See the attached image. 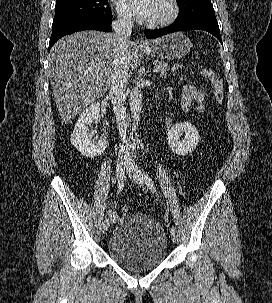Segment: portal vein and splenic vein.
Wrapping results in <instances>:
<instances>
[{
  "label": "portal vein and splenic vein",
  "instance_id": "obj_1",
  "mask_svg": "<svg viewBox=\"0 0 272 303\" xmlns=\"http://www.w3.org/2000/svg\"><path fill=\"white\" fill-rule=\"evenodd\" d=\"M158 71H159V67L156 66V67L153 69V72H154V73H157Z\"/></svg>",
  "mask_w": 272,
  "mask_h": 303
}]
</instances>
